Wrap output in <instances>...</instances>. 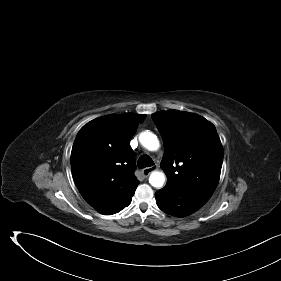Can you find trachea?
Here are the masks:
<instances>
[{
	"label": "trachea",
	"mask_w": 281,
	"mask_h": 281,
	"mask_svg": "<svg viewBox=\"0 0 281 281\" xmlns=\"http://www.w3.org/2000/svg\"><path fill=\"white\" fill-rule=\"evenodd\" d=\"M153 165H154V162L148 155H142L138 159V168L142 169V168L150 167Z\"/></svg>",
	"instance_id": "obj_1"
}]
</instances>
